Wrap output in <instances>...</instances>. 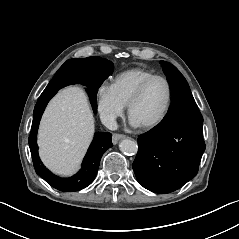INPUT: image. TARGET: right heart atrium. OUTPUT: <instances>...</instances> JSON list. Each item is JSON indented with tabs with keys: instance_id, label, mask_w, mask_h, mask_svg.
I'll use <instances>...</instances> for the list:
<instances>
[{
	"instance_id": "d8ad5b80",
	"label": "right heart atrium",
	"mask_w": 239,
	"mask_h": 239,
	"mask_svg": "<svg viewBox=\"0 0 239 239\" xmlns=\"http://www.w3.org/2000/svg\"><path fill=\"white\" fill-rule=\"evenodd\" d=\"M96 105L101 120L106 124L114 123L125 110V106L116 97L112 87L107 84L97 88Z\"/></svg>"
}]
</instances>
